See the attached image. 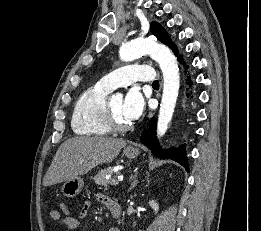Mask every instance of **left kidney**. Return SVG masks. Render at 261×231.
Wrapping results in <instances>:
<instances>
[{
  "mask_svg": "<svg viewBox=\"0 0 261 231\" xmlns=\"http://www.w3.org/2000/svg\"><path fill=\"white\" fill-rule=\"evenodd\" d=\"M149 205H150V207L154 210L155 213L158 212V210H159V205H158V203H157L155 200H150V201H149Z\"/></svg>",
  "mask_w": 261,
  "mask_h": 231,
  "instance_id": "1",
  "label": "left kidney"
}]
</instances>
